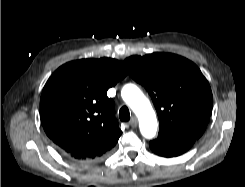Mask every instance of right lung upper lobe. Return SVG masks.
Instances as JSON below:
<instances>
[{"instance_id": "1", "label": "right lung upper lobe", "mask_w": 245, "mask_h": 187, "mask_svg": "<svg viewBox=\"0 0 245 187\" xmlns=\"http://www.w3.org/2000/svg\"><path fill=\"white\" fill-rule=\"evenodd\" d=\"M128 74L111 58L81 59L59 67L45 84L40 118L67 157L90 163L109 155L122 134L107 90Z\"/></svg>"}]
</instances>
